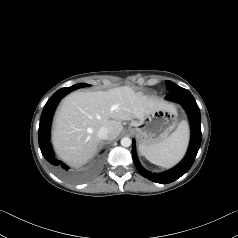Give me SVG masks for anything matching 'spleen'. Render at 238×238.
Instances as JSON below:
<instances>
[{"mask_svg": "<svg viewBox=\"0 0 238 238\" xmlns=\"http://www.w3.org/2000/svg\"><path fill=\"white\" fill-rule=\"evenodd\" d=\"M188 141V124L186 121H182L166 139L147 148H140V151L151 163L168 168L175 165L184 156Z\"/></svg>", "mask_w": 238, "mask_h": 238, "instance_id": "3e777b00", "label": "spleen"}]
</instances>
